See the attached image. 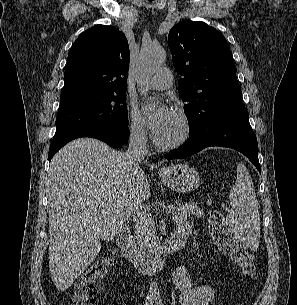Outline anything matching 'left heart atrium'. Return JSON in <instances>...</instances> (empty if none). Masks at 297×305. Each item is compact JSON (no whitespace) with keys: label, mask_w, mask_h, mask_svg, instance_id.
Masks as SVG:
<instances>
[{"label":"left heart atrium","mask_w":297,"mask_h":305,"mask_svg":"<svg viewBox=\"0 0 297 305\" xmlns=\"http://www.w3.org/2000/svg\"><path fill=\"white\" fill-rule=\"evenodd\" d=\"M174 116L173 109L167 104L146 107V124L155 138L166 130Z\"/></svg>","instance_id":"39dd6f15"}]
</instances>
